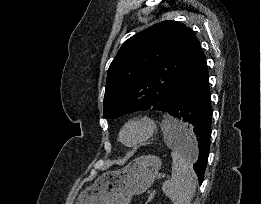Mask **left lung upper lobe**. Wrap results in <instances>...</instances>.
<instances>
[{"label": "left lung upper lobe", "instance_id": "1", "mask_svg": "<svg viewBox=\"0 0 261 204\" xmlns=\"http://www.w3.org/2000/svg\"><path fill=\"white\" fill-rule=\"evenodd\" d=\"M197 43L189 27L173 20L155 24L125 41L108 69L105 118L150 107L165 112Z\"/></svg>", "mask_w": 261, "mask_h": 204}]
</instances>
